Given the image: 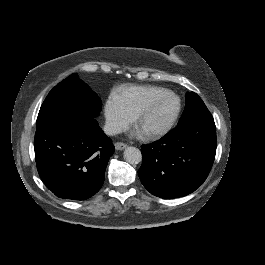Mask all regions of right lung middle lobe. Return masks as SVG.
<instances>
[{
    "mask_svg": "<svg viewBox=\"0 0 265 265\" xmlns=\"http://www.w3.org/2000/svg\"><path fill=\"white\" fill-rule=\"evenodd\" d=\"M101 106L97 94L74 73L49 92L40 108L36 125L56 111L68 112L70 109L77 114L96 117Z\"/></svg>",
    "mask_w": 265,
    "mask_h": 265,
    "instance_id": "1",
    "label": "right lung middle lobe"
}]
</instances>
